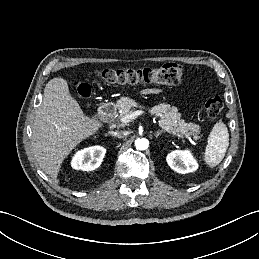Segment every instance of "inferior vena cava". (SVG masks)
<instances>
[{
  "mask_svg": "<svg viewBox=\"0 0 259 259\" xmlns=\"http://www.w3.org/2000/svg\"><path fill=\"white\" fill-rule=\"evenodd\" d=\"M109 133L118 138H123L126 135L125 131H110Z\"/></svg>",
  "mask_w": 259,
  "mask_h": 259,
  "instance_id": "1",
  "label": "inferior vena cava"
}]
</instances>
